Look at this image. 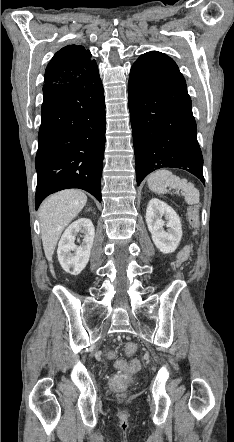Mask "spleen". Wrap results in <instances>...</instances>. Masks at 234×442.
Listing matches in <instances>:
<instances>
[{
	"label": "spleen",
	"mask_w": 234,
	"mask_h": 442,
	"mask_svg": "<svg viewBox=\"0 0 234 442\" xmlns=\"http://www.w3.org/2000/svg\"><path fill=\"white\" fill-rule=\"evenodd\" d=\"M147 183L155 193L165 194L167 193V187H169L170 189L182 190L187 204L192 205L199 202L198 189L186 179H180L167 169H160L151 173L148 176Z\"/></svg>",
	"instance_id": "spleen-1"
}]
</instances>
